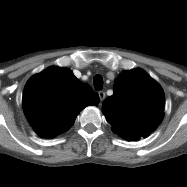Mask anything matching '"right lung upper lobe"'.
<instances>
[{"mask_svg": "<svg viewBox=\"0 0 187 187\" xmlns=\"http://www.w3.org/2000/svg\"><path fill=\"white\" fill-rule=\"evenodd\" d=\"M99 103L92 88L80 82L71 70L50 67L31 77L23 93L25 115L41 137L53 138L67 131L79 112Z\"/></svg>", "mask_w": 187, "mask_h": 187, "instance_id": "obj_1", "label": "right lung upper lobe"}]
</instances>
